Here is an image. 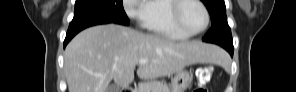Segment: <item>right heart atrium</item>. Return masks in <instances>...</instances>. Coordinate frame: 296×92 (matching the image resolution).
<instances>
[{
    "instance_id": "d8ad5b80",
    "label": "right heart atrium",
    "mask_w": 296,
    "mask_h": 92,
    "mask_svg": "<svg viewBox=\"0 0 296 92\" xmlns=\"http://www.w3.org/2000/svg\"><path fill=\"white\" fill-rule=\"evenodd\" d=\"M147 3L145 0H125L126 14L130 19L143 23L147 13Z\"/></svg>"
}]
</instances>
